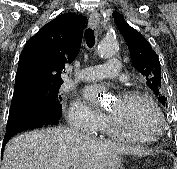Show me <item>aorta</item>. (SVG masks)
Instances as JSON below:
<instances>
[{"label":"aorta","mask_w":177,"mask_h":169,"mask_svg":"<svg viewBox=\"0 0 177 169\" xmlns=\"http://www.w3.org/2000/svg\"><path fill=\"white\" fill-rule=\"evenodd\" d=\"M118 51V43L114 38L104 39L99 45L97 52L103 58H110Z\"/></svg>","instance_id":"1"}]
</instances>
